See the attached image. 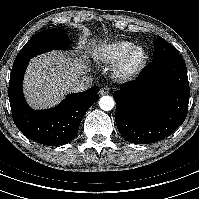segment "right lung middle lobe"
<instances>
[{"mask_svg": "<svg viewBox=\"0 0 199 199\" xmlns=\"http://www.w3.org/2000/svg\"><path fill=\"white\" fill-rule=\"evenodd\" d=\"M64 32V29H59L35 34L20 50L13 65L53 49H66L70 41Z\"/></svg>", "mask_w": 199, "mask_h": 199, "instance_id": "dd1d6c3e", "label": "right lung middle lobe"}]
</instances>
